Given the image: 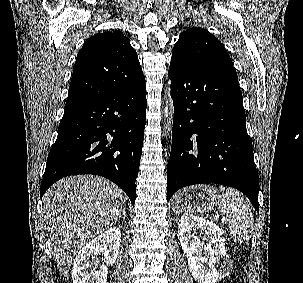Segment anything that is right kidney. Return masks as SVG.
I'll return each mask as SVG.
<instances>
[{"label": "right kidney", "instance_id": "1", "mask_svg": "<svg viewBox=\"0 0 303 283\" xmlns=\"http://www.w3.org/2000/svg\"><path fill=\"white\" fill-rule=\"evenodd\" d=\"M121 242V232L118 227H113L90 240L76 256L72 268L73 283H107L109 264H114ZM103 253L102 265L96 271L88 272L90 257Z\"/></svg>", "mask_w": 303, "mask_h": 283}]
</instances>
